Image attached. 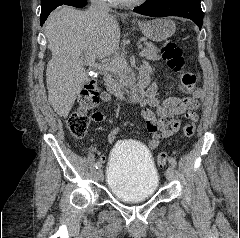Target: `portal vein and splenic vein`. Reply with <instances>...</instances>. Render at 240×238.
<instances>
[{"label": "portal vein and splenic vein", "instance_id": "obj_1", "mask_svg": "<svg viewBox=\"0 0 240 238\" xmlns=\"http://www.w3.org/2000/svg\"><path fill=\"white\" fill-rule=\"evenodd\" d=\"M147 52V48H143L142 51L140 52V56L143 57L145 53ZM86 63L91 66H97L95 63V56L93 55H86ZM119 64L118 59L111 60L110 62H104L102 65L99 66V68L105 69V70H111L114 69L116 65Z\"/></svg>", "mask_w": 240, "mask_h": 238}]
</instances>
